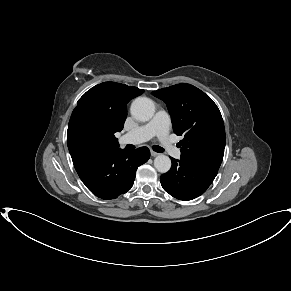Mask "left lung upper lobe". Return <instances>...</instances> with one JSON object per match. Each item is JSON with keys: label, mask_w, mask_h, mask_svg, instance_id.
Instances as JSON below:
<instances>
[{"label": "left lung upper lobe", "mask_w": 291, "mask_h": 291, "mask_svg": "<svg viewBox=\"0 0 291 291\" xmlns=\"http://www.w3.org/2000/svg\"><path fill=\"white\" fill-rule=\"evenodd\" d=\"M152 94L166 103L174 133L183 136L181 159L218 172L224 156L225 128L213 100L190 84L173 85Z\"/></svg>", "instance_id": "1"}]
</instances>
